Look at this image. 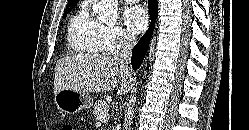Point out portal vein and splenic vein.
<instances>
[{"label": "portal vein and splenic vein", "mask_w": 249, "mask_h": 130, "mask_svg": "<svg viewBox=\"0 0 249 130\" xmlns=\"http://www.w3.org/2000/svg\"><path fill=\"white\" fill-rule=\"evenodd\" d=\"M99 120H100V121H106V120H108L107 114H106L105 112H102V113L99 115Z\"/></svg>", "instance_id": "1"}]
</instances>
